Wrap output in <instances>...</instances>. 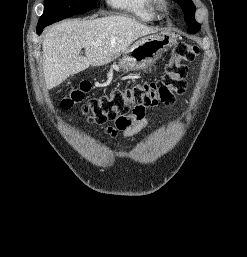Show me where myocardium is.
<instances>
[{"label": "myocardium", "instance_id": "myocardium-1", "mask_svg": "<svg viewBox=\"0 0 247 257\" xmlns=\"http://www.w3.org/2000/svg\"><path fill=\"white\" fill-rule=\"evenodd\" d=\"M153 9L156 14L165 13L168 9V3L166 0H153Z\"/></svg>", "mask_w": 247, "mask_h": 257}]
</instances>
